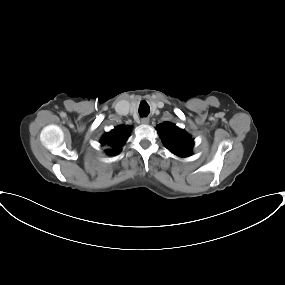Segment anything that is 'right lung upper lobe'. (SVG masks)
I'll return each mask as SVG.
<instances>
[{
	"mask_svg": "<svg viewBox=\"0 0 285 285\" xmlns=\"http://www.w3.org/2000/svg\"><path fill=\"white\" fill-rule=\"evenodd\" d=\"M130 129L131 127L129 126L120 125L110 133L103 135L101 144L110 146V148L106 150L107 154L116 155L120 152L122 146L129 137Z\"/></svg>",
	"mask_w": 285,
	"mask_h": 285,
	"instance_id": "cb5924a9",
	"label": "right lung upper lobe"
}]
</instances>
